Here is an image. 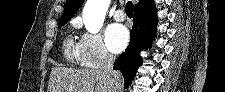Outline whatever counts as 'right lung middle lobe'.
<instances>
[{
	"label": "right lung middle lobe",
	"instance_id": "obj_1",
	"mask_svg": "<svg viewBox=\"0 0 225 92\" xmlns=\"http://www.w3.org/2000/svg\"><path fill=\"white\" fill-rule=\"evenodd\" d=\"M65 23H67V21H60V22H58V26L62 27Z\"/></svg>",
	"mask_w": 225,
	"mask_h": 92
}]
</instances>
